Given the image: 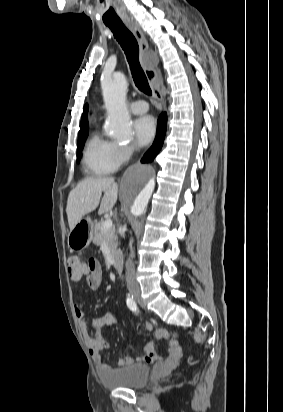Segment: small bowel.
I'll return each mask as SVG.
<instances>
[{
  "label": "small bowel",
  "mask_w": 283,
  "mask_h": 412,
  "mask_svg": "<svg viewBox=\"0 0 283 412\" xmlns=\"http://www.w3.org/2000/svg\"><path fill=\"white\" fill-rule=\"evenodd\" d=\"M102 270L97 263L96 269L93 272L86 274V283L91 290H97L102 284ZM75 315L80 322L81 329L83 331L86 343L89 347L90 354L97 364L100 374H104L111 369L110 365L106 363L102 357V351L109 348V343L101 336L100 329L112 326L116 323V316L114 312H108L94 318L91 322L88 321L87 315L84 310L75 305ZM147 331H152L153 326L150 322L145 323ZM157 338H169V335L164 330H156L154 332ZM181 347L175 341H170L168 345V355L166 359L168 361H175L180 357ZM157 359V355L154 350L153 344L148 343L143 350V353L135 357H125L118 360L120 366H128L132 363H149Z\"/></svg>",
  "instance_id": "small-bowel-1"
}]
</instances>
